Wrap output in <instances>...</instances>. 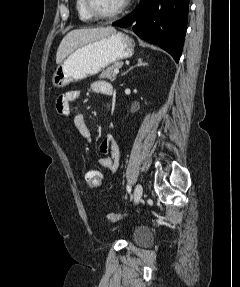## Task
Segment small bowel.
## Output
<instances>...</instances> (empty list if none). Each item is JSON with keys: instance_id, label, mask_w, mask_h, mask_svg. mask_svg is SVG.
<instances>
[{"instance_id": "small-bowel-1", "label": "small bowel", "mask_w": 240, "mask_h": 287, "mask_svg": "<svg viewBox=\"0 0 240 287\" xmlns=\"http://www.w3.org/2000/svg\"><path fill=\"white\" fill-rule=\"evenodd\" d=\"M93 92L104 96H111L113 93V87L109 82L98 80L91 86ZM80 92L77 90L68 91L60 95L55 103L57 112L63 117H70L72 115L74 126L79 134L87 142H91L92 136L90 129L88 128L85 118L77 106L73 105L79 98ZM99 152L101 156L98 160L99 165L102 168L110 170L115 173L119 167L120 149L115 142L113 136L107 135L99 145ZM108 153H110L108 155Z\"/></svg>"}]
</instances>
